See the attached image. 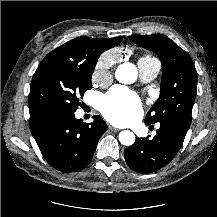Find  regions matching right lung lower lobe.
<instances>
[{"label":"right lung lower lobe","instance_id":"98d812e1","mask_svg":"<svg viewBox=\"0 0 217 217\" xmlns=\"http://www.w3.org/2000/svg\"><path fill=\"white\" fill-rule=\"evenodd\" d=\"M83 123L70 112H48L30 117L32 135L45 158L56 170L78 172L91 161L99 138L108 129L100 116Z\"/></svg>","mask_w":217,"mask_h":217}]
</instances>
